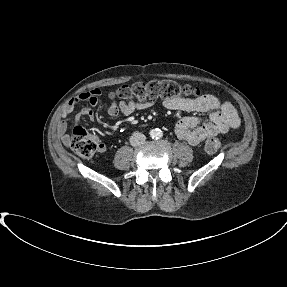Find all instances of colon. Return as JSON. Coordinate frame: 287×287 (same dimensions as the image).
Instances as JSON below:
<instances>
[{"label":"colon","instance_id":"1","mask_svg":"<svg viewBox=\"0 0 287 287\" xmlns=\"http://www.w3.org/2000/svg\"><path fill=\"white\" fill-rule=\"evenodd\" d=\"M200 90L187 84H180L172 80L139 82L124 86L116 91L115 97L127 103H153L158 99L170 100L174 98L197 99ZM69 145L79 157L91 158L101 148L97 135L81 127H75L70 137ZM222 146L219 138H210L205 143V151L214 153Z\"/></svg>","mask_w":287,"mask_h":287}]
</instances>
